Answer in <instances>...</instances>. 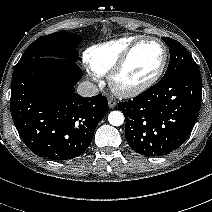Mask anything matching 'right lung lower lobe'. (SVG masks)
Segmentation results:
<instances>
[{
  "label": "right lung lower lobe",
  "instance_id": "1",
  "mask_svg": "<svg viewBox=\"0 0 212 212\" xmlns=\"http://www.w3.org/2000/svg\"><path fill=\"white\" fill-rule=\"evenodd\" d=\"M68 58L42 57L15 67L11 115L26 146L51 160L80 156L108 112L102 95L84 98L74 86L82 77Z\"/></svg>",
  "mask_w": 212,
  "mask_h": 212
}]
</instances>
